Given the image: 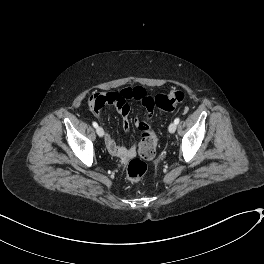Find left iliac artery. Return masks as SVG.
<instances>
[{
  "instance_id": "left-iliac-artery-1",
  "label": "left iliac artery",
  "mask_w": 264,
  "mask_h": 264,
  "mask_svg": "<svg viewBox=\"0 0 264 264\" xmlns=\"http://www.w3.org/2000/svg\"><path fill=\"white\" fill-rule=\"evenodd\" d=\"M179 121H180V118H176V119L174 120L175 124H178Z\"/></svg>"
}]
</instances>
